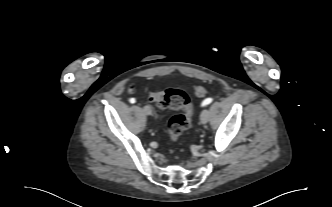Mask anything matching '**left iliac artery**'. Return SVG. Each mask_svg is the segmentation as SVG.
Masks as SVG:
<instances>
[{"label": "left iliac artery", "mask_w": 332, "mask_h": 207, "mask_svg": "<svg viewBox=\"0 0 332 207\" xmlns=\"http://www.w3.org/2000/svg\"><path fill=\"white\" fill-rule=\"evenodd\" d=\"M212 101H213L212 98H207L202 102V106H206V105L210 104Z\"/></svg>", "instance_id": "obj_1"}]
</instances>
